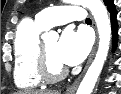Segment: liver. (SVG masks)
I'll use <instances>...</instances> for the list:
<instances>
[{
	"label": "liver",
	"instance_id": "liver-1",
	"mask_svg": "<svg viewBox=\"0 0 121 94\" xmlns=\"http://www.w3.org/2000/svg\"><path fill=\"white\" fill-rule=\"evenodd\" d=\"M18 94H60L59 91L57 90H35V91H24V92H19Z\"/></svg>",
	"mask_w": 121,
	"mask_h": 94
}]
</instances>
